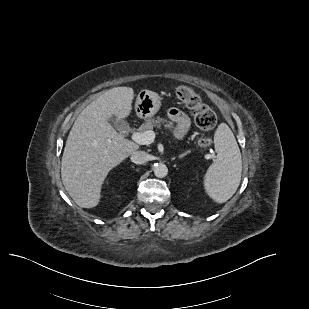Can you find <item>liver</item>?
I'll use <instances>...</instances> for the list:
<instances>
[{"mask_svg": "<svg viewBox=\"0 0 309 309\" xmlns=\"http://www.w3.org/2000/svg\"><path fill=\"white\" fill-rule=\"evenodd\" d=\"M134 91L115 87L105 91L79 114L66 141L62 161L63 185L82 208L96 207L108 173L139 148L108 122L114 115L126 118Z\"/></svg>", "mask_w": 309, "mask_h": 309, "instance_id": "1", "label": "liver"}]
</instances>
